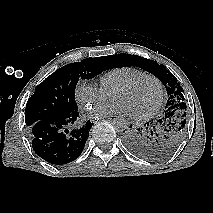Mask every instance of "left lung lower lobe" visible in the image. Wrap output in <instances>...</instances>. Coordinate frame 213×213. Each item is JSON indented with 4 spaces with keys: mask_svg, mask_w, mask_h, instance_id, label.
Segmentation results:
<instances>
[{
    "mask_svg": "<svg viewBox=\"0 0 213 213\" xmlns=\"http://www.w3.org/2000/svg\"><path fill=\"white\" fill-rule=\"evenodd\" d=\"M157 121L145 124L144 129H134L132 125H130L129 130H124L123 141L126 147L134 154L146 158L147 153L150 151L147 143L157 129Z\"/></svg>",
    "mask_w": 213,
    "mask_h": 213,
    "instance_id": "left-lung-lower-lobe-1",
    "label": "left lung lower lobe"
}]
</instances>
